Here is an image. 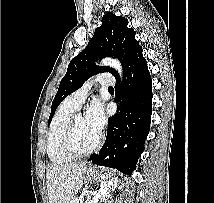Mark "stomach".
Returning a JSON list of instances; mask_svg holds the SVG:
<instances>
[{
    "label": "stomach",
    "instance_id": "0dacf381",
    "mask_svg": "<svg viewBox=\"0 0 214 203\" xmlns=\"http://www.w3.org/2000/svg\"><path fill=\"white\" fill-rule=\"evenodd\" d=\"M84 180L87 182L101 181L103 183H112L114 181L113 173L107 170L89 167L84 172Z\"/></svg>",
    "mask_w": 214,
    "mask_h": 203
}]
</instances>
